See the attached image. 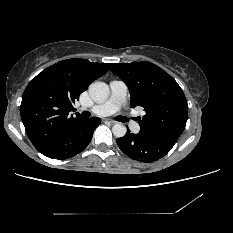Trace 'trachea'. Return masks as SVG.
<instances>
[{"label":"trachea","instance_id":"trachea-1","mask_svg":"<svg viewBox=\"0 0 233 233\" xmlns=\"http://www.w3.org/2000/svg\"><path fill=\"white\" fill-rule=\"evenodd\" d=\"M82 116H83L84 118H88V117H90V112L84 111V112L82 113ZM120 121H121V122H125L126 120H125V118L121 117V118H120Z\"/></svg>","mask_w":233,"mask_h":233}]
</instances>
